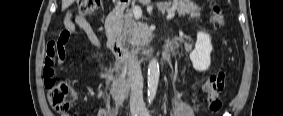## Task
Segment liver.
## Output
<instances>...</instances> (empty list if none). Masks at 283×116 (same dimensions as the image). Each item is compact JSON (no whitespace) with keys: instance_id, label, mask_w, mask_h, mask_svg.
Returning a JSON list of instances; mask_svg holds the SVG:
<instances>
[{"instance_id":"liver-1","label":"liver","mask_w":283,"mask_h":116,"mask_svg":"<svg viewBox=\"0 0 283 116\" xmlns=\"http://www.w3.org/2000/svg\"><path fill=\"white\" fill-rule=\"evenodd\" d=\"M75 0H62V10L67 9Z\"/></svg>"}]
</instances>
